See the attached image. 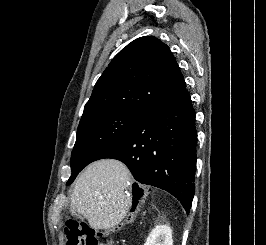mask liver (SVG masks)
I'll list each match as a JSON object with an SVG mask.
<instances>
[{"mask_svg": "<svg viewBox=\"0 0 266 245\" xmlns=\"http://www.w3.org/2000/svg\"><path fill=\"white\" fill-rule=\"evenodd\" d=\"M131 179L129 169L120 161L91 163L74 185L71 213L83 215L92 229L116 227L130 207L127 189Z\"/></svg>", "mask_w": 266, "mask_h": 245, "instance_id": "liver-1", "label": "liver"}]
</instances>
